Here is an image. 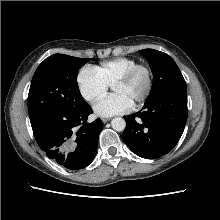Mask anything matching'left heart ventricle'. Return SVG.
<instances>
[{"instance_id": "b2bd125f", "label": "left heart ventricle", "mask_w": 220, "mask_h": 220, "mask_svg": "<svg viewBox=\"0 0 220 220\" xmlns=\"http://www.w3.org/2000/svg\"><path fill=\"white\" fill-rule=\"evenodd\" d=\"M146 87V75L139 72L135 78L125 85H117L112 87L113 94H121L134 103L142 96Z\"/></svg>"}]
</instances>
